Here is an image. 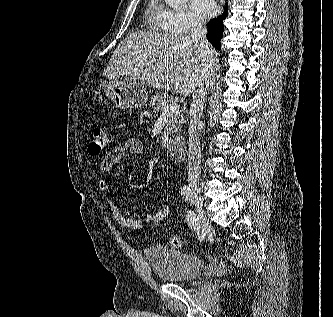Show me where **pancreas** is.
<instances>
[{
    "label": "pancreas",
    "mask_w": 333,
    "mask_h": 317,
    "mask_svg": "<svg viewBox=\"0 0 333 317\" xmlns=\"http://www.w3.org/2000/svg\"><path fill=\"white\" fill-rule=\"evenodd\" d=\"M170 103H172V100L168 96V94L164 92H159L151 96L149 106L153 108V112L161 113L164 106ZM183 123L184 117L181 111H178L177 113H174L170 116L161 136L164 146H166L168 142L172 141L173 138H175L179 134Z\"/></svg>",
    "instance_id": "cf45deb5"
}]
</instances>
